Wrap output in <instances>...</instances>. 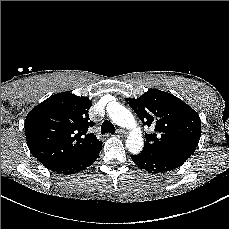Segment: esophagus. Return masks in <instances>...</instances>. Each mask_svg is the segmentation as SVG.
Masks as SVG:
<instances>
[{
	"label": "esophagus",
	"mask_w": 229,
	"mask_h": 229,
	"mask_svg": "<svg viewBox=\"0 0 229 229\" xmlns=\"http://www.w3.org/2000/svg\"><path fill=\"white\" fill-rule=\"evenodd\" d=\"M116 134L117 136H124L127 134V132L123 129H117Z\"/></svg>",
	"instance_id": "34e87169"
}]
</instances>
